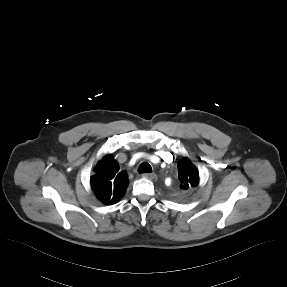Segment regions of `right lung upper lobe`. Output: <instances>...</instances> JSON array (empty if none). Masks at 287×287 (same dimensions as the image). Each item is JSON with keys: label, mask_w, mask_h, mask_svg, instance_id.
<instances>
[{"label": "right lung upper lobe", "mask_w": 287, "mask_h": 287, "mask_svg": "<svg viewBox=\"0 0 287 287\" xmlns=\"http://www.w3.org/2000/svg\"><path fill=\"white\" fill-rule=\"evenodd\" d=\"M94 171L91 188L104 204H114L123 197L128 185L127 175L119 171V165L111 154L104 156Z\"/></svg>", "instance_id": "cb5924a9"}]
</instances>
